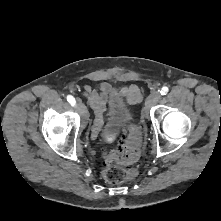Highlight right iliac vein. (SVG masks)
Here are the masks:
<instances>
[{"mask_svg":"<svg viewBox=\"0 0 221 221\" xmlns=\"http://www.w3.org/2000/svg\"><path fill=\"white\" fill-rule=\"evenodd\" d=\"M77 110L81 114L82 123H83V126H85L88 120V111H87L86 106L81 101H78L77 103Z\"/></svg>","mask_w":221,"mask_h":221,"instance_id":"1","label":"right iliac vein"}]
</instances>
